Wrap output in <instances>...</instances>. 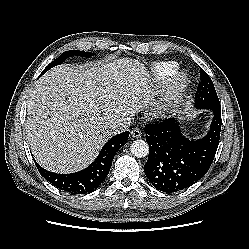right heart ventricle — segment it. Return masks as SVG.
I'll return each mask as SVG.
<instances>
[{
	"mask_svg": "<svg viewBox=\"0 0 249 249\" xmlns=\"http://www.w3.org/2000/svg\"><path fill=\"white\" fill-rule=\"evenodd\" d=\"M177 69H178V64L176 62L166 61V62H158V63L154 64L152 71H153L154 76L159 81H165Z\"/></svg>",
	"mask_w": 249,
	"mask_h": 249,
	"instance_id": "e07e8e85",
	"label": "right heart ventricle"
}]
</instances>
